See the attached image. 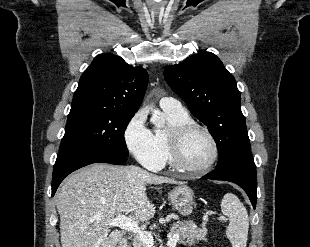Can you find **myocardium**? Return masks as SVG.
I'll use <instances>...</instances> for the list:
<instances>
[{"label": "myocardium", "mask_w": 310, "mask_h": 247, "mask_svg": "<svg viewBox=\"0 0 310 247\" xmlns=\"http://www.w3.org/2000/svg\"><path fill=\"white\" fill-rule=\"evenodd\" d=\"M194 131L203 132L208 137L213 150L212 158L210 159V161L199 168H193L188 166L184 160L183 155L184 141L187 136ZM168 141L173 165L176 168L190 175L204 174L215 165L219 158V147L213 134L209 131L208 128L194 121L175 125L174 127H172L168 134Z\"/></svg>", "instance_id": "f54148a6"}]
</instances>
